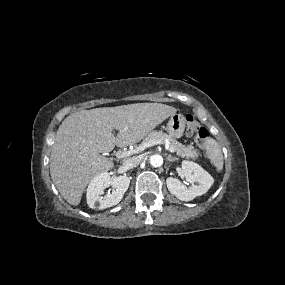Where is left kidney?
Wrapping results in <instances>:
<instances>
[{"instance_id":"5707ae66","label":"left kidney","mask_w":285,"mask_h":285,"mask_svg":"<svg viewBox=\"0 0 285 285\" xmlns=\"http://www.w3.org/2000/svg\"><path fill=\"white\" fill-rule=\"evenodd\" d=\"M182 175L192 184L189 188H186L179 179L168 177L166 180L170 193L182 201H191L205 194L214 182L213 177L207 171L190 161L182 162Z\"/></svg>"}]
</instances>
